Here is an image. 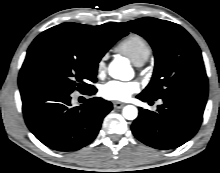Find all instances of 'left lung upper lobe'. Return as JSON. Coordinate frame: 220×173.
I'll return each mask as SVG.
<instances>
[{"instance_id":"5c2ea615","label":"left lung upper lobe","mask_w":220,"mask_h":173,"mask_svg":"<svg viewBox=\"0 0 220 173\" xmlns=\"http://www.w3.org/2000/svg\"><path fill=\"white\" fill-rule=\"evenodd\" d=\"M121 25L144 37L154 51L153 76L142 95L152 100L176 95L207 99L208 80L201 51L184 28L151 17Z\"/></svg>"}]
</instances>
